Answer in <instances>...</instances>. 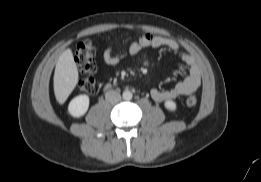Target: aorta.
I'll return each instance as SVG.
<instances>
[{
    "mask_svg": "<svg viewBox=\"0 0 261 182\" xmlns=\"http://www.w3.org/2000/svg\"><path fill=\"white\" fill-rule=\"evenodd\" d=\"M122 97H123L124 100H131L132 97H133V94H132L131 91L125 90V91L123 92V94H122Z\"/></svg>",
    "mask_w": 261,
    "mask_h": 182,
    "instance_id": "1",
    "label": "aorta"
}]
</instances>
